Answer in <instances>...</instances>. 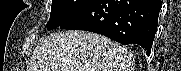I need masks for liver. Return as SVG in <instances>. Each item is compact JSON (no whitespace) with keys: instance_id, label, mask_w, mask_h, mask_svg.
Listing matches in <instances>:
<instances>
[{"instance_id":"6515ba94","label":"liver","mask_w":181,"mask_h":71,"mask_svg":"<svg viewBox=\"0 0 181 71\" xmlns=\"http://www.w3.org/2000/svg\"><path fill=\"white\" fill-rule=\"evenodd\" d=\"M128 50L99 34L62 31L37 45L30 71H133Z\"/></svg>"}]
</instances>
